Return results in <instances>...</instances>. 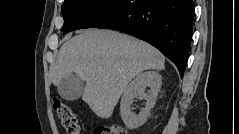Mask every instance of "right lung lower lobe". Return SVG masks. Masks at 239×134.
I'll list each match as a JSON object with an SVG mask.
<instances>
[{"instance_id":"obj_1","label":"right lung lower lobe","mask_w":239,"mask_h":134,"mask_svg":"<svg viewBox=\"0 0 239 134\" xmlns=\"http://www.w3.org/2000/svg\"><path fill=\"white\" fill-rule=\"evenodd\" d=\"M193 0H116L83 28L115 29L160 50L178 68H186L193 31Z\"/></svg>"}]
</instances>
